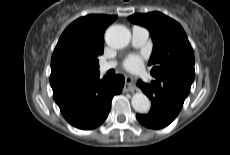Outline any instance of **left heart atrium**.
Listing matches in <instances>:
<instances>
[{
  "label": "left heart atrium",
  "mask_w": 230,
  "mask_h": 155,
  "mask_svg": "<svg viewBox=\"0 0 230 155\" xmlns=\"http://www.w3.org/2000/svg\"><path fill=\"white\" fill-rule=\"evenodd\" d=\"M143 58L137 54L128 55L123 61V67L127 70H136L142 65Z\"/></svg>",
  "instance_id": "obj_1"
}]
</instances>
